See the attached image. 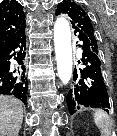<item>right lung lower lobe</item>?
<instances>
[{
  "mask_svg": "<svg viewBox=\"0 0 117 136\" xmlns=\"http://www.w3.org/2000/svg\"><path fill=\"white\" fill-rule=\"evenodd\" d=\"M25 22L0 47V94L13 95L27 102V77L25 76Z\"/></svg>",
  "mask_w": 117,
  "mask_h": 136,
  "instance_id": "right-lung-lower-lobe-1",
  "label": "right lung lower lobe"
}]
</instances>
